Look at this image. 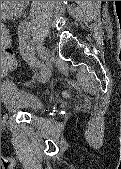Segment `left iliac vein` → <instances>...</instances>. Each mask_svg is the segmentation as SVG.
I'll use <instances>...</instances> for the list:
<instances>
[{"label": "left iliac vein", "instance_id": "1", "mask_svg": "<svg viewBox=\"0 0 121 169\" xmlns=\"http://www.w3.org/2000/svg\"><path fill=\"white\" fill-rule=\"evenodd\" d=\"M38 51H39V56L41 58V60L45 63H47L49 61L50 58V51L48 48H46L44 45L39 44L38 45ZM50 76V70L48 67H46L43 72L41 73V76L39 78V81L44 83L48 80Z\"/></svg>", "mask_w": 121, "mask_h": 169}]
</instances>
